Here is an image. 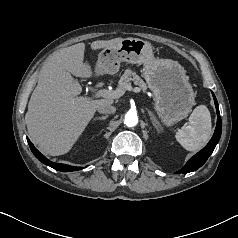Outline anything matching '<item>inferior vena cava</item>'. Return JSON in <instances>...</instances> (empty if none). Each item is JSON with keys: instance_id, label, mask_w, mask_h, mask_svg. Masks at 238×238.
<instances>
[{"instance_id": "obj_1", "label": "inferior vena cava", "mask_w": 238, "mask_h": 238, "mask_svg": "<svg viewBox=\"0 0 238 238\" xmlns=\"http://www.w3.org/2000/svg\"><path fill=\"white\" fill-rule=\"evenodd\" d=\"M97 111L102 114H114L116 108L112 105L102 104L97 107Z\"/></svg>"}]
</instances>
